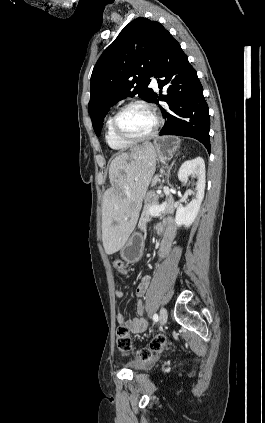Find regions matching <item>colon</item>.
I'll return each instance as SVG.
<instances>
[{
    "instance_id": "5ec220e1",
    "label": "colon",
    "mask_w": 265,
    "mask_h": 423,
    "mask_svg": "<svg viewBox=\"0 0 265 423\" xmlns=\"http://www.w3.org/2000/svg\"><path fill=\"white\" fill-rule=\"evenodd\" d=\"M113 268L119 272L124 268V263L120 259H116L112 263ZM117 347L123 353H129L132 350V341L129 331L125 325H120L116 332ZM166 344L164 335H157L151 339L147 347L142 348L137 354L139 363H147L159 354Z\"/></svg>"
}]
</instances>
